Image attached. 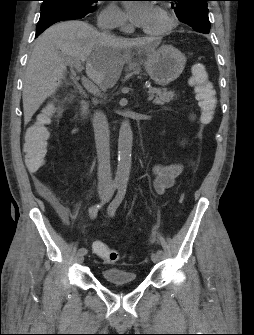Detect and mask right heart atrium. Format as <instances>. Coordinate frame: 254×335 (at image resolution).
<instances>
[{
	"instance_id": "obj_1",
	"label": "right heart atrium",
	"mask_w": 254,
	"mask_h": 335,
	"mask_svg": "<svg viewBox=\"0 0 254 335\" xmlns=\"http://www.w3.org/2000/svg\"><path fill=\"white\" fill-rule=\"evenodd\" d=\"M98 23L104 25L115 24L122 30L128 28L124 13L114 4L108 5L100 12Z\"/></svg>"
}]
</instances>
